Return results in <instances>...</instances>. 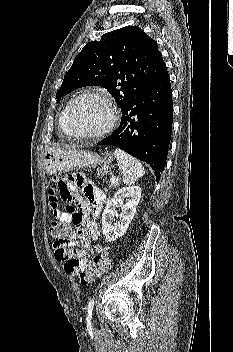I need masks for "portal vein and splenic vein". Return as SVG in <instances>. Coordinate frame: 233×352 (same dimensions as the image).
<instances>
[{
  "instance_id": "18ae733b",
  "label": "portal vein and splenic vein",
  "mask_w": 233,
  "mask_h": 352,
  "mask_svg": "<svg viewBox=\"0 0 233 352\" xmlns=\"http://www.w3.org/2000/svg\"><path fill=\"white\" fill-rule=\"evenodd\" d=\"M116 181H117V178H116V177H114V176H112V177H111V182H113V183H114V182H116Z\"/></svg>"
}]
</instances>
